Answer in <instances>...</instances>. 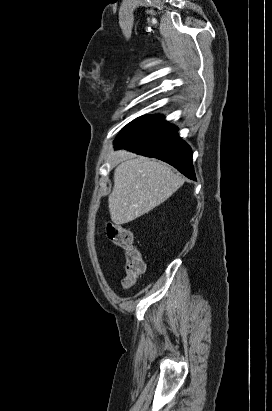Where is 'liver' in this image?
I'll return each instance as SVG.
<instances>
[{
    "label": "liver",
    "mask_w": 272,
    "mask_h": 411,
    "mask_svg": "<svg viewBox=\"0 0 272 411\" xmlns=\"http://www.w3.org/2000/svg\"><path fill=\"white\" fill-rule=\"evenodd\" d=\"M183 183L166 163L126 154L114 171V187L108 197L112 222L125 224L146 214Z\"/></svg>",
    "instance_id": "liver-1"
}]
</instances>
